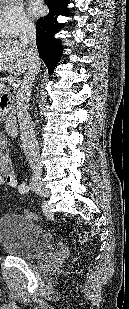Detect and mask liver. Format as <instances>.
I'll return each mask as SVG.
<instances>
[{"label":"liver","mask_w":129,"mask_h":309,"mask_svg":"<svg viewBox=\"0 0 129 309\" xmlns=\"http://www.w3.org/2000/svg\"><path fill=\"white\" fill-rule=\"evenodd\" d=\"M27 48L17 40H0V72L26 74L31 67Z\"/></svg>","instance_id":"liver-1"}]
</instances>
